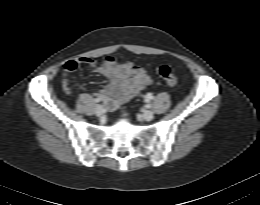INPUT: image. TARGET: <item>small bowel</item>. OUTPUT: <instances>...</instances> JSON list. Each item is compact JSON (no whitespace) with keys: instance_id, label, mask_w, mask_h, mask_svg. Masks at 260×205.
Listing matches in <instances>:
<instances>
[{"instance_id":"obj_1","label":"small bowel","mask_w":260,"mask_h":205,"mask_svg":"<svg viewBox=\"0 0 260 205\" xmlns=\"http://www.w3.org/2000/svg\"><path fill=\"white\" fill-rule=\"evenodd\" d=\"M82 65L89 66L108 79V84L96 94L108 110L117 109L153 81L148 71L134 62H118L112 57H107L99 64L92 58L82 57L63 65L61 84L64 92L68 94L71 92L70 74Z\"/></svg>"}]
</instances>
